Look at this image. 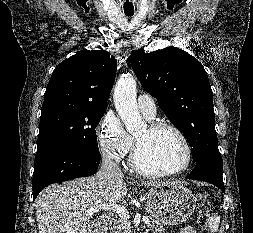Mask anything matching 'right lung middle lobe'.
Returning <instances> with one entry per match:
<instances>
[{
    "label": "right lung middle lobe",
    "instance_id": "dd1d6c3e",
    "mask_svg": "<svg viewBox=\"0 0 253 233\" xmlns=\"http://www.w3.org/2000/svg\"><path fill=\"white\" fill-rule=\"evenodd\" d=\"M107 105L51 102L43 104L38 150L59 145L100 155L95 128Z\"/></svg>",
    "mask_w": 253,
    "mask_h": 233
}]
</instances>
